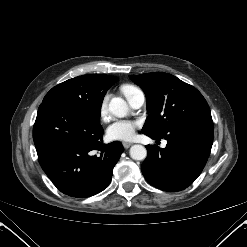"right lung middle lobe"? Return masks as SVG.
Returning a JSON list of instances; mask_svg holds the SVG:
<instances>
[{
  "label": "right lung middle lobe",
  "instance_id": "dd1d6c3e",
  "mask_svg": "<svg viewBox=\"0 0 247 247\" xmlns=\"http://www.w3.org/2000/svg\"><path fill=\"white\" fill-rule=\"evenodd\" d=\"M107 90L95 74L78 76L52 88L41 105L54 103L84 112L100 120L101 105Z\"/></svg>",
  "mask_w": 247,
  "mask_h": 247
}]
</instances>
